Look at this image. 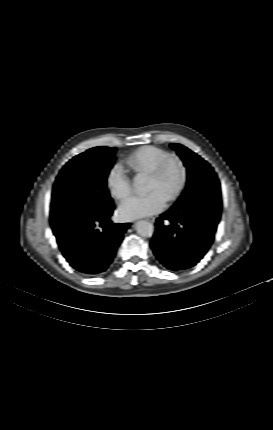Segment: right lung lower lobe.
Segmentation results:
<instances>
[{
    "label": "right lung lower lobe",
    "instance_id": "98d812e1",
    "mask_svg": "<svg viewBox=\"0 0 273 430\" xmlns=\"http://www.w3.org/2000/svg\"><path fill=\"white\" fill-rule=\"evenodd\" d=\"M112 212L113 209L54 232L63 256L84 275L94 276L107 270L130 225L111 223Z\"/></svg>",
    "mask_w": 273,
    "mask_h": 430
}]
</instances>
